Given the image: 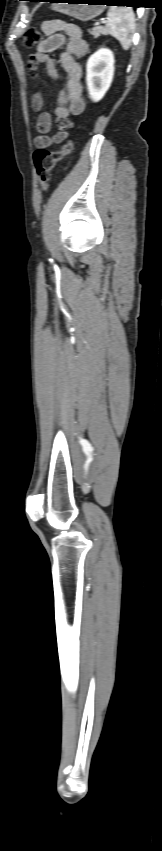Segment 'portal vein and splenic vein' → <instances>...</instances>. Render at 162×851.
<instances>
[{"label":"portal vein and splenic vein","mask_w":162,"mask_h":851,"mask_svg":"<svg viewBox=\"0 0 162 851\" xmlns=\"http://www.w3.org/2000/svg\"><path fill=\"white\" fill-rule=\"evenodd\" d=\"M101 23H107V21H106V20H103ZM99 24H100V22H96V24H95V25H96V26H98Z\"/></svg>","instance_id":"1"}]
</instances>
